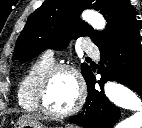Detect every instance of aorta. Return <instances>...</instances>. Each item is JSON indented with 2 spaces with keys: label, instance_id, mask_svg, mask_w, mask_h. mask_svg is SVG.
<instances>
[{
  "label": "aorta",
  "instance_id": "aorta-1",
  "mask_svg": "<svg viewBox=\"0 0 142 128\" xmlns=\"http://www.w3.org/2000/svg\"><path fill=\"white\" fill-rule=\"evenodd\" d=\"M82 19L97 30L104 29L106 25L102 15L93 10H86L83 12ZM104 91L106 97L114 105L136 111L133 115L121 121L117 128L142 127V101L133 91L115 82H107L104 86Z\"/></svg>",
  "mask_w": 142,
  "mask_h": 128
}]
</instances>
